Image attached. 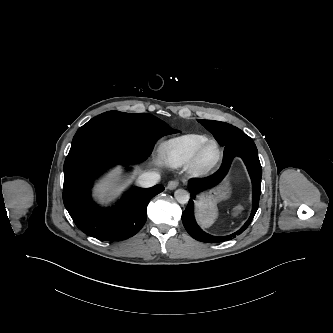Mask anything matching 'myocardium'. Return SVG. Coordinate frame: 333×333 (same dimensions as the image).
<instances>
[{"label":"myocardium","mask_w":333,"mask_h":333,"mask_svg":"<svg viewBox=\"0 0 333 333\" xmlns=\"http://www.w3.org/2000/svg\"><path fill=\"white\" fill-rule=\"evenodd\" d=\"M210 146H213L216 149L217 155L213 161L205 163L203 161V154L205 150ZM222 157H223V150L221 146L215 140H207L196 151L193 159L189 163V166L197 174L201 175L207 174L220 163Z\"/></svg>","instance_id":"obj_1"}]
</instances>
